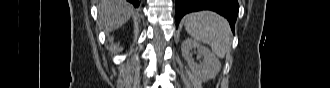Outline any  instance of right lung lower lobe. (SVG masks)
I'll return each mask as SVG.
<instances>
[{
  "label": "right lung lower lobe",
  "instance_id": "98d812e1",
  "mask_svg": "<svg viewBox=\"0 0 330 88\" xmlns=\"http://www.w3.org/2000/svg\"><path fill=\"white\" fill-rule=\"evenodd\" d=\"M127 1L132 3L135 7L139 6V1L138 0H127Z\"/></svg>",
  "mask_w": 330,
  "mask_h": 88
}]
</instances>
